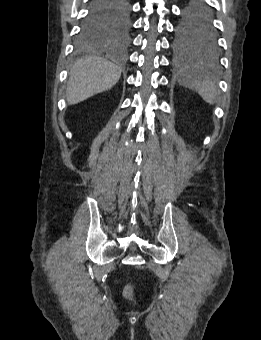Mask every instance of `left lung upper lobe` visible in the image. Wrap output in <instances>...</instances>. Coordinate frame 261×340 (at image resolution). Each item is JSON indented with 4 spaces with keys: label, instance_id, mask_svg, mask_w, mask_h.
I'll use <instances>...</instances> for the list:
<instances>
[{
    "label": "left lung upper lobe",
    "instance_id": "1",
    "mask_svg": "<svg viewBox=\"0 0 261 340\" xmlns=\"http://www.w3.org/2000/svg\"><path fill=\"white\" fill-rule=\"evenodd\" d=\"M175 43L180 50L199 52L209 57L218 55L219 46L211 12L202 0H193L184 10L177 26Z\"/></svg>",
    "mask_w": 261,
    "mask_h": 340
}]
</instances>
